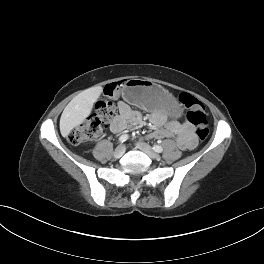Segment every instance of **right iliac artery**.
Masks as SVG:
<instances>
[{
  "instance_id": "82829eb1",
  "label": "right iliac artery",
  "mask_w": 264,
  "mask_h": 264,
  "mask_svg": "<svg viewBox=\"0 0 264 264\" xmlns=\"http://www.w3.org/2000/svg\"><path fill=\"white\" fill-rule=\"evenodd\" d=\"M129 138V136L127 134H123L119 137V142L123 143L125 142L127 139Z\"/></svg>"
}]
</instances>
